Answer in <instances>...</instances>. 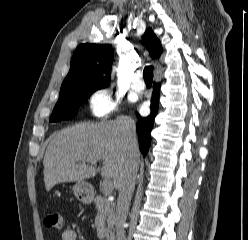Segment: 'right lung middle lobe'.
<instances>
[{
    "label": "right lung middle lobe",
    "mask_w": 248,
    "mask_h": 240,
    "mask_svg": "<svg viewBox=\"0 0 248 240\" xmlns=\"http://www.w3.org/2000/svg\"><path fill=\"white\" fill-rule=\"evenodd\" d=\"M98 88H69L61 91L55 105L50 122L72 119L76 116L79 106Z\"/></svg>",
    "instance_id": "obj_1"
}]
</instances>
